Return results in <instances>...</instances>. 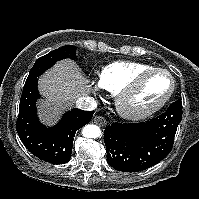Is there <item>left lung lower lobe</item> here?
Listing matches in <instances>:
<instances>
[{"instance_id": "1", "label": "left lung lower lobe", "mask_w": 199, "mask_h": 199, "mask_svg": "<svg viewBox=\"0 0 199 199\" xmlns=\"http://www.w3.org/2000/svg\"><path fill=\"white\" fill-rule=\"evenodd\" d=\"M181 118L182 102L177 100L151 120L108 125L104 131L108 164L124 172L156 165L170 153Z\"/></svg>"}]
</instances>
